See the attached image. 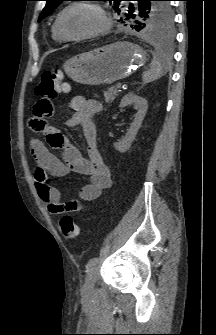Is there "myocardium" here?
I'll use <instances>...</instances> for the list:
<instances>
[{
  "instance_id": "obj_1",
  "label": "myocardium",
  "mask_w": 216,
  "mask_h": 335,
  "mask_svg": "<svg viewBox=\"0 0 216 335\" xmlns=\"http://www.w3.org/2000/svg\"><path fill=\"white\" fill-rule=\"evenodd\" d=\"M77 6H87V7H91L94 10H96L103 19V25L99 29H96V30L91 31L89 33L78 35V36H70V35L66 34L61 27V19L67 11H69L70 9H72L74 7H77ZM112 24H113V21H112L111 17L108 15L107 11L100 4H97V3H94V2L77 1V2H73L69 5H67L65 8H63L59 12V14L56 17L54 26H55V29H56L57 33L64 40H67V41H81V40L91 39V38H95V37L106 34L111 29Z\"/></svg>"
}]
</instances>
